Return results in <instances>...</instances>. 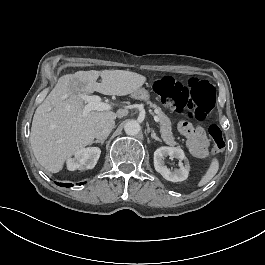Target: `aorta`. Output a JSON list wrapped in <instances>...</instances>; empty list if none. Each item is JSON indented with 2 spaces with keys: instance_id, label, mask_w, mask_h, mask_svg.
Returning <instances> with one entry per match:
<instances>
[{
  "instance_id": "aorta-1",
  "label": "aorta",
  "mask_w": 265,
  "mask_h": 265,
  "mask_svg": "<svg viewBox=\"0 0 265 265\" xmlns=\"http://www.w3.org/2000/svg\"><path fill=\"white\" fill-rule=\"evenodd\" d=\"M124 130L127 135H137L140 131V124L136 120H129L125 123Z\"/></svg>"
}]
</instances>
